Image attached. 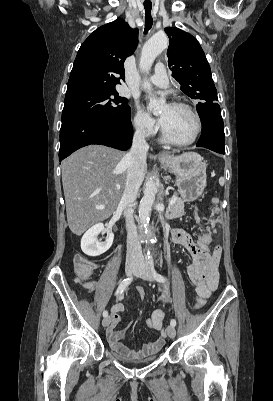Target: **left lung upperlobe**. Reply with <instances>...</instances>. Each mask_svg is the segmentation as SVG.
I'll return each instance as SVG.
<instances>
[{
    "mask_svg": "<svg viewBox=\"0 0 273 401\" xmlns=\"http://www.w3.org/2000/svg\"><path fill=\"white\" fill-rule=\"evenodd\" d=\"M165 32L170 39L168 66L180 83V89L193 99L217 101L211 69L196 38L176 27L165 28Z\"/></svg>",
    "mask_w": 273,
    "mask_h": 401,
    "instance_id": "obj_1",
    "label": "left lung upper lobe"
}]
</instances>
